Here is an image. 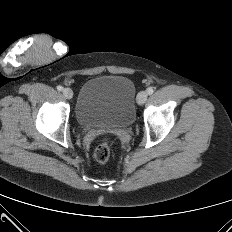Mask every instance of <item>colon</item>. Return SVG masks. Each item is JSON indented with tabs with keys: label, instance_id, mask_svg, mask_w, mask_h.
I'll return each mask as SVG.
<instances>
[{
	"label": "colon",
	"instance_id": "5ec220e1",
	"mask_svg": "<svg viewBox=\"0 0 232 232\" xmlns=\"http://www.w3.org/2000/svg\"><path fill=\"white\" fill-rule=\"evenodd\" d=\"M112 153V141L109 138H103L94 151V157L98 162H107Z\"/></svg>",
	"mask_w": 232,
	"mask_h": 232
}]
</instances>
